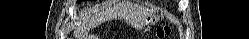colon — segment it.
Masks as SVG:
<instances>
[{
  "label": "colon",
  "instance_id": "obj_1",
  "mask_svg": "<svg viewBox=\"0 0 249 39\" xmlns=\"http://www.w3.org/2000/svg\"><path fill=\"white\" fill-rule=\"evenodd\" d=\"M171 33V27L165 26L158 28L156 31V35L158 38H164L165 36L169 35Z\"/></svg>",
  "mask_w": 249,
  "mask_h": 39
}]
</instances>
